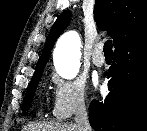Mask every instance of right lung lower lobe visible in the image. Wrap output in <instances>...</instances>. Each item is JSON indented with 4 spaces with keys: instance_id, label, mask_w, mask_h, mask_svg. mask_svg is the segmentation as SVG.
<instances>
[{
    "instance_id": "98d812e1",
    "label": "right lung lower lobe",
    "mask_w": 147,
    "mask_h": 131,
    "mask_svg": "<svg viewBox=\"0 0 147 131\" xmlns=\"http://www.w3.org/2000/svg\"><path fill=\"white\" fill-rule=\"evenodd\" d=\"M110 93L92 101L89 121L95 131H147V31L117 46L105 73Z\"/></svg>"
}]
</instances>
